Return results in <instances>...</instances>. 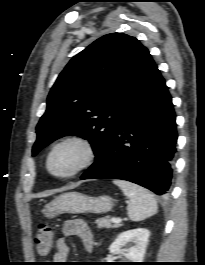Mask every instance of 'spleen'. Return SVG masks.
Here are the masks:
<instances>
[{"instance_id":"obj_1","label":"spleen","mask_w":205,"mask_h":265,"mask_svg":"<svg viewBox=\"0 0 205 265\" xmlns=\"http://www.w3.org/2000/svg\"><path fill=\"white\" fill-rule=\"evenodd\" d=\"M113 182L130 200L128 215L132 221H141L157 213V201L147 189L123 180Z\"/></svg>"}]
</instances>
